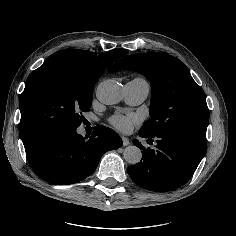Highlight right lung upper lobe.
Here are the masks:
<instances>
[{"label": "right lung upper lobe", "instance_id": "obj_1", "mask_svg": "<svg viewBox=\"0 0 236 236\" xmlns=\"http://www.w3.org/2000/svg\"><path fill=\"white\" fill-rule=\"evenodd\" d=\"M127 53L124 50H114L97 55L86 50H62L51 55L45 62L64 59L87 72L101 75L114 61Z\"/></svg>", "mask_w": 236, "mask_h": 236}]
</instances>
